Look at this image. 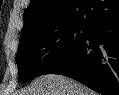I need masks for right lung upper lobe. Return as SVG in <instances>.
Here are the masks:
<instances>
[{
  "mask_svg": "<svg viewBox=\"0 0 119 95\" xmlns=\"http://www.w3.org/2000/svg\"><path fill=\"white\" fill-rule=\"evenodd\" d=\"M118 16L119 0H31L24 11L21 37L45 26L78 24L92 28Z\"/></svg>",
  "mask_w": 119,
  "mask_h": 95,
  "instance_id": "cb5924a9",
  "label": "right lung upper lobe"
}]
</instances>
